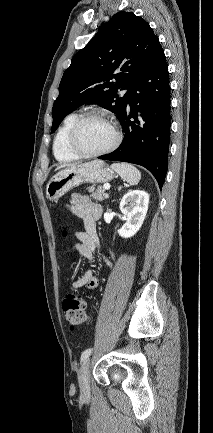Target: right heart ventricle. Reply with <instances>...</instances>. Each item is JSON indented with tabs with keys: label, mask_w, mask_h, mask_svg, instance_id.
Segmentation results:
<instances>
[{
	"label": "right heart ventricle",
	"mask_w": 213,
	"mask_h": 433,
	"mask_svg": "<svg viewBox=\"0 0 213 433\" xmlns=\"http://www.w3.org/2000/svg\"><path fill=\"white\" fill-rule=\"evenodd\" d=\"M78 117L77 113L69 114L55 136L53 151L55 158L60 162H71L79 159V156L70 149L68 142L69 132Z\"/></svg>",
	"instance_id": "right-heart-ventricle-1"
}]
</instances>
